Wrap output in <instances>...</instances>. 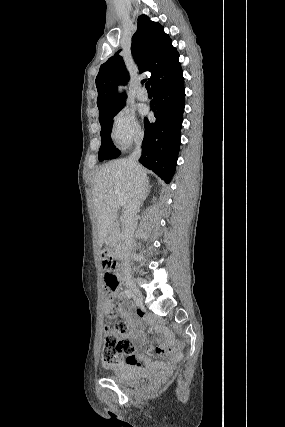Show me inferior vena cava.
Returning <instances> with one entry per match:
<instances>
[{"label": "inferior vena cava", "mask_w": 285, "mask_h": 427, "mask_svg": "<svg viewBox=\"0 0 285 427\" xmlns=\"http://www.w3.org/2000/svg\"><path fill=\"white\" fill-rule=\"evenodd\" d=\"M141 156V140L136 142V148L128 158L130 168L132 169V176L134 187L129 201L124 207L123 211V230H122V243L124 251L128 256L133 246V234L137 225V211L146 191L147 180L138 160ZM125 271L130 272L129 263H125Z\"/></svg>", "instance_id": "602c4592"}]
</instances>
